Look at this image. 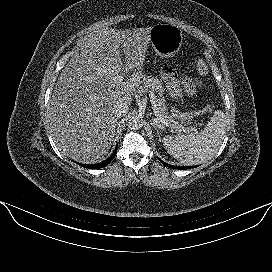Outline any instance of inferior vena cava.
Here are the masks:
<instances>
[{"label": "inferior vena cava", "mask_w": 272, "mask_h": 272, "mask_svg": "<svg viewBox=\"0 0 272 272\" xmlns=\"http://www.w3.org/2000/svg\"><path fill=\"white\" fill-rule=\"evenodd\" d=\"M129 110L128 103L123 101H117L113 106V113L116 118L124 116Z\"/></svg>", "instance_id": "1"}]
</instances>
